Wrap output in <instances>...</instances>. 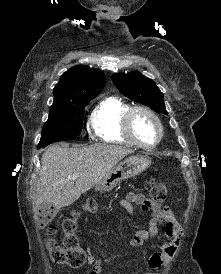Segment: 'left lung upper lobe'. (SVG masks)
Instances as JSON below:
<instances>
[{
  "label": "left lung upper lobe",
  "instance_id": "5c2ea615",
  "mask_svg": "<svg viewBox=\"0 0 221 274\" xmlns=\"http://www.w3.org/2000/svg\"><path fill=\"white\" fill-rule=\"evenodd\" d=\"M112 81L124 96L147 105L157 113L168 115L164 104V95L150 78L138 72H132L114 74Z\"/></svg>",
  "mask_w": 221,
  "mask_h": 274
}]
</instances>
